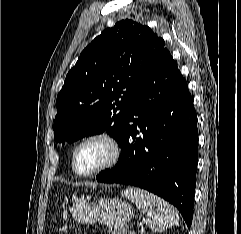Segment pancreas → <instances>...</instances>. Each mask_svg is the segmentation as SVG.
Listing matches in <instances>:
<instances>
[{
  "label": "pancreas",
  "instance_id": "pancreas-1",
  "mask_svg": "<svg viewBox=\"0 0 241 234\" xmlns=\"http://www.w3.org/2000/svg\"><path fill=\"white\" fill-rule=\"evenodd\" d=\"M111 234H127L124 228H118L111 232Z\"/></svg>",
  "mask_w": 241,
  "mask_h": 234
}]
</instances>
